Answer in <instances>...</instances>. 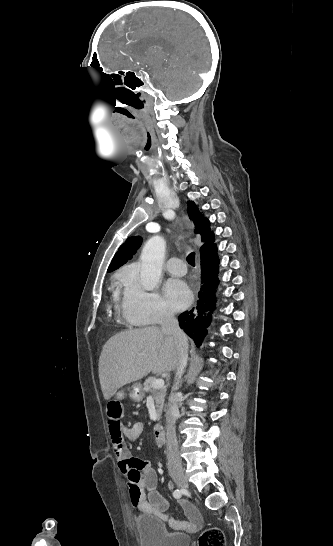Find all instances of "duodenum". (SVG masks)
<instances>
[{
  "label": "duodenum",
  "mask_w": 333,
  "mask_h": 546,
  "mask_svg": "<svg viewBox=\"0 0 333 546\" xmlns=\"http://www.w3.org/2000/svg\"><path fill=\"white\" fill-rule=\"evenodd\" d=\"M153 438H154L155 443L158 446L163 444V441H164L163 428L160 425H157V426L154 427Z\"/></svg>",
  "instance_id": "duodenum-1"
}]
</instances>
